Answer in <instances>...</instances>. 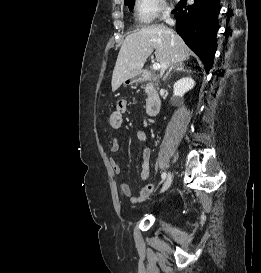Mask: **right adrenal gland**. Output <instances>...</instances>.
<instances>
[{
	"mask_svg": "<svg viewBox=\"0 0 261 273\" xmlns=\"http://www.w3.org/2000/svg\"><path fill=\"white\" fill-rule=\"evenodd\" d=\"M184 63L183 62H179L177 63L175 66H172L169 71L166 73V75L163 77V80L167 79V77L170 75L171 71L173 69H175L176 71H187L184 69Z\"/></svg>",
	"mask_w": 261,
	"mask_h": 273,
	"instance_id": "obj_1",
	"label": "right adrenal gland"
}]
</instances>
